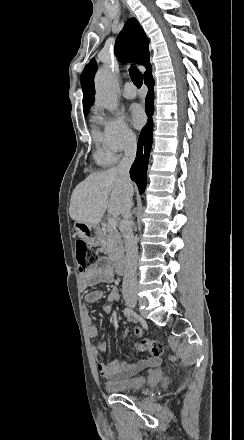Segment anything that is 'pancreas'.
<instances>
[{
	"mask_svg": "<svg viewBox=\"0 0 244 440\" xmlns=\"http://www.w3.org/2000/svg\"><path fill=\"white\" fill-rule=\"evenodd\" d=\"M99 244L104 254L109 256L111 262H119L124 256L123 242L121 240V234L118 230H107V232H101Z\"/></svg>",
	"mask_w": 244,
	"mask_h": 440,
	"instance_id": "cf45deb5",
	"label": "pancreas"
}]
</instances>
